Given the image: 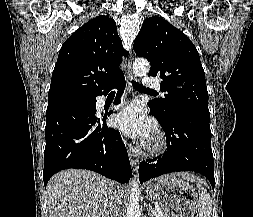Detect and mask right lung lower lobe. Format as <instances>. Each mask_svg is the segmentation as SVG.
Returning <instances> with one entry per match:
<instances>
[{
    "mask_svg": "<svg viewBox=\"0 0 253 217\" xmlns=\"http://www.w3.org/2000/svg\"><path fill=\"white\" fill-rule=\"evenodd\" d=\"M124 85L122 75L98 95H106L111 88L117 87L119 91L114 103L118 104ZM96 96L92 97L91 104L70 105L46 112L45 187L52 175L68 168L89 169L121 183L130 180L131 166L121 135L105 123L113 111L97 115Z\"/></svg>",
    "mask_w": 253,
    "mask_h": 217,
    "instance_id": "1",
    "label": "right lung lower lobe"
}]
</instances>
